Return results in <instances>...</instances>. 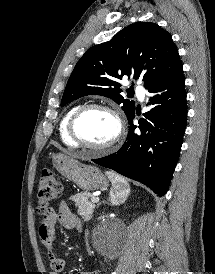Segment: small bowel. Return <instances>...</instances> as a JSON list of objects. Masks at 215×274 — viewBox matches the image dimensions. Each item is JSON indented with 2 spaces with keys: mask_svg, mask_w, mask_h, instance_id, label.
<instances>
[{
  "mask_svg": "<svg viewBox=\"0 0 215 274\" xmlns=\"http://www.w3.org/2000/svg\"><path fill=\"white\" fill-rule=\"evenodd\" d=\"M57 223L66 229L81 228L80 219L71 212L65 201H60L56 208L50 209L43 217L39 226V236L47 249V259L50 265L49 274H59L65 267V260L54 252ZM81 274H99V271H86Z\"/></svg>",
  "mask_w": 215,
  "mask_h": 274,
  "instance_id": "c3829d8e",
  "label": "small bowel"
}]
</instances>
